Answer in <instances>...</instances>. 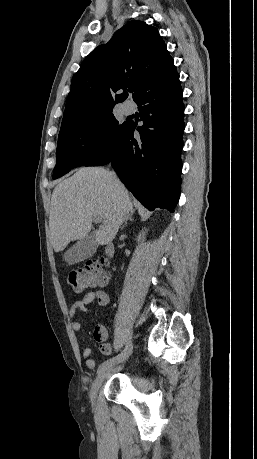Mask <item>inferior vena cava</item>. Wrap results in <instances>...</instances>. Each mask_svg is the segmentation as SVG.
Returning a JSON list of instances; mask_svg holds the SVG:
<instances>
[{
  "mask_svg": "<svg viewBox=\"0 0 257 459\" xmlns=\"http://www.w3.org/2000/svg\"><path fill=\"white\" fill-rule=\"evenodd\" d=\"M111 175L116 178V174L114 172H111Z\"/></svg>",
  "mask_w": 257,
  "mask_h": 459,
  "instance_id": "1",
  "label": "inferior vena cava"
}]
</instances>
